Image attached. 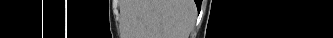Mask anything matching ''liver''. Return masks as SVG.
<instances>
[{"instance_id": "1", "label": "liver", "mask_w": 333, "mask_h": 38, "mask_svg": "<svg viewBox=\"0 0 333 38\" xmlns=\"http://www.w3.org/2000/svg\"><path fill=\"white\" fill-rule=\"evenodd\" d=\"M137 38H188L194 20L193 0H137Z\"/></svg>"}]
</instances>
